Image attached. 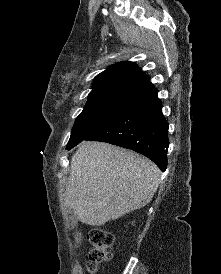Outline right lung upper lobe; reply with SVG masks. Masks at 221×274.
Returning a JSON list of instances; mask_svg holds the SVG:
<instances>
[{"mask_svg": "<svg viewBox=\"0 0 221 274\" xmlns=\"http://www.w3.org/2000/svg\"><path fill=\"white\" fill-rule=\"evenodd\" d=\"M154 89L147 77L132 62H119L94 79L88 99L120 98L136 100Z\"/></svg>", "mask_w": 221, "mask_h": 274, "instance_id": "obj_1", "label": "right lung upper lobe"}]
</instances>
